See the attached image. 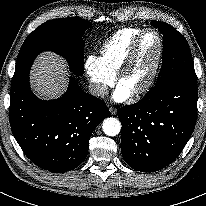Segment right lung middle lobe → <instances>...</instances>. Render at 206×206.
Returning a JSON list of instances; mask_svg holds the SVG:
<instances>
[{
	"instance_id": "1",
	"label": "right lung middle lobe",
	"mask_w": 206,
	"mask_h": 206,
	"mask_svg": "<svg viewBox=\"0 0 206 206\" xmlns=\"http://www.w3.org/2000/svg\"><path fill=\"white\" fill-rule=\"evenodd\" d=\"M92 27L87 20L61 18L47 21L35 29L24 41L15 66L12 86L19 84L29 75L36 56L45 50L54 51L65 57L75 74L84 71V31Z\"/></svg>"
}]
</instances>
